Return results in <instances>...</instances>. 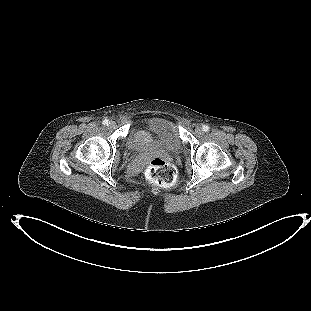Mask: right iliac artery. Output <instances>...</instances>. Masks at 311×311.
<instances>
[{
	"label": "right iliac artery",
	"mask_w": 311,
	"mask_h": 311,
	"mask_svg": "<svg viewBox=\"0 0 311 311\" xmlns=\"http://www.w3.org/2000/svg\"><path fill=\"white\" fill-rule=\"evenodd\" d=\"M108 123H109V120H107V119L103 120L104 125H108Z\"/></svg>",
	"instance_id": "obj_1"
}]
</instances>
